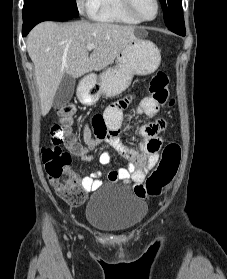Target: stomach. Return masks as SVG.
<instances>
[{
    "label": "stomach",
    "mask_w": 227,
    "mask_h": 279,
    "mask_svg": "<svg viewBox=\"0 0 227 279\" xmlns=\"http://www.w3.org/2000/svg\"><path fill=\"white\" fill-rule=\"evenodd\" d=\"M144 33L143 29H136V39L120 51L114 67L106 69L98 79L80 82L77 96L81 103L93 105L101 95L118 96L130 86L134 75H147L159 67L160 50L152 41L144 38Z\"/></svg>",
    "instance_id": "1"
}]
</instances>
